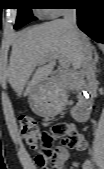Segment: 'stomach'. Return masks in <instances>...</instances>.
<instances>
[{"label":"stomach","mask_w":104,"mask_h":169,"mask_svg":"<svg viewBox=\"0 0 104 169\" xmlns=\"http://www.w3.org/2000/svg\"><path fill=\"white\" fill-rule=\"evenodd\" d=\"M31 109L38 115L52 117L61 112L66 98L63 91L50 81L38 84L28 98Z\"/></svg>","instance_id":"stomach-1"}]
</instances>
